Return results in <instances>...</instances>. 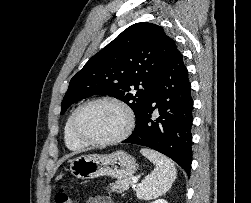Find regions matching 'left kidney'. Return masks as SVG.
Returning a JSON list of instances; mask_svg holds the SVG:
<instances>
[{"label": "left kidney", "instance_id": "5707ae66", "mask_svg": "<svg viewBox=\"0 0 251 203\" xmlns=\"http://www.w3.org/2000/svg\"><path fill=\"white\" fill-rule=\"evenodd\" d=\"M151 203H168V202L166 200H164V199H157V200H155V201H153Z\"/></svg>", "mask_w": 251, "mask_h": 203}]
</instances>
